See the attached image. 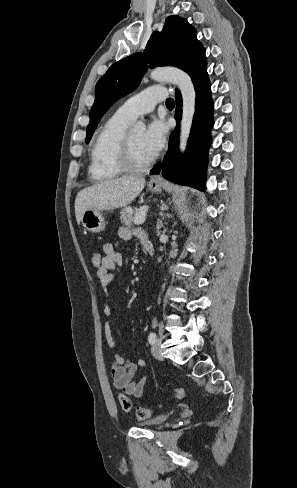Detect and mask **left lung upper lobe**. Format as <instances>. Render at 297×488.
I'll return each mask as SVG.
<instances>
[{"label":"left lung upper lobe","instance_id":"left-lung-upper-lobe-1","mask_svg":"<svg viewBox=\"0 0 297 488\" xmlns=\"http://www.w3.org/2000/svg\"><path fill=\"white\" fill-rule=\"evenodd\" d=\"M206 64L205 49L197 40L195 28L184 18L168 17L162 32L151 35L144 53H135L114 63L97 82L86 143L90 141L103 114L114 102L139 85L148 66H175L194 80L207 72Z\"/></svg>","mask_w":297,"mask_h":488}]
</instances>
